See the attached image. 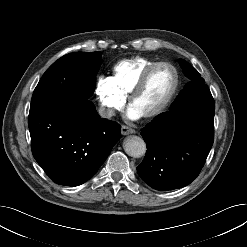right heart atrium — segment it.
I'll return each instance as SVG.
<instances>
[{"instance_id": "d8ad5b80", "label": "right heart atrium", "mask_w": 247, "mask_h": 247, "mask_svg": "<svg viewBox=\"0 0 247 247\" xmlns=\"http://www.w3.org/2000/svg\"><path fill=\"white\" fill-rule=\"evenodd\" d=\"M95 95L98 100L99 112L109 118L123 108L126 98L111 84L109 77L101 76L95 83Z\"/></svg>"}]
</instances>
